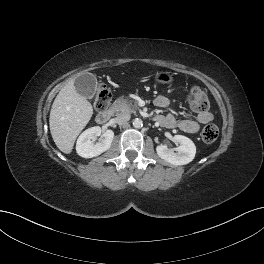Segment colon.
Returning a JSON list of instances; mask_svg holds the SVG:
<instances>
[{
    "instance_id": "colon-1",
    "label": "colon",
    "mask_w": 264,
    "mask_h": 264,
    "mask_svg": "<svg viewBox=\"0 0 264 264\" xmlns=\"http://www.w3.org/2000/svg\"><path fill=\"white\" fill-rule=\"evenodd\" d=\"M111 94L105 87L100 88L96 97V107L99 110L105 109L110 102ZM187 102L190 108L197 113L207 112L209 109V101L206 93L198 86L190 88L187 94ZM219 135V129L215 124L206 125L201 133L204 142L212 143Z\"/></svg>"
}]
</instances>
